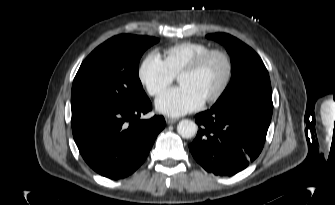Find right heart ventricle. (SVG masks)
Here are the masks:
<instances>
[{"mask_svg": "<svg viewBox=\"0 0 335 205\" xmlns=\"http://www.w3.org/2000/svg\"><path fill=\"white\" fill-rule=\"evenodd\" d=\"M210 49V46L204 43L185 41L165 48L162 51V60L168 70L176 76L197 57Z\"/></svg>", "mask_w": 335, "mask_h": 205, "instance_id": "e07e8e85", "label": "right heart ventricle"}]
</instances>
